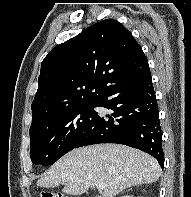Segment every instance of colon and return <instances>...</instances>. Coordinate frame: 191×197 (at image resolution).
Masks as SVG:
<instances>
[{
	"instance_id": "obj_1",
	"label": "colon",
	"mask_w": 191,
	"mask_h": 197,
	"mask_svg": "<svg viewBox=\"0 0 191 197\" xmlns=\"http://www.w3.org/2000/svg\"><path fill=\"white\" fill-rule=\"evenodd\" d=\"M42 197H64L61 194H54V193H50V192H44L42 194Z\"/></svg>"
}]
</instances>
